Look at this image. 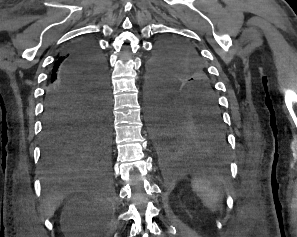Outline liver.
<instances>
[{
  "instance_id": "1",
  "label": "liver",
  "mask_w": 297,
  "mask_h": 237,
  "mask_svg": "<svg viewBox=\"0 0 297 237\" xmlns=\"http://www.w3.org/2000/svg\"><path fill=\"white\" fill-rule=\"evenodd\" d=\"M93 182L90 180L89 176H72L65 179L66 188L65 192L70 191H79L82 189V186L88 183ZM64 193L59 194L54 198L47 199L46 203L48 205V214L52 216L59 201L63 199Z\"/></svg>"
}]
</instances>
